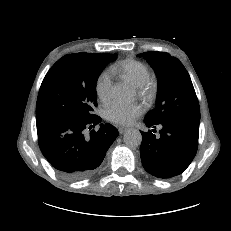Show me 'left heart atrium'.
<instances>
[{
    "mask_svg": "<svg viewBox=\"0 0 231 231\" xmlns=\"http://www.w3.org/2000/svg\"><path fill=\"white\" fill-rule=\"evenodd\" d=\"M143 107L138 103L123 104L113 102L106 110L107 118L120 125H129L142 113Z\"/></svg>",
    "mask_w": 231,
    "mask_h": 231,
    "instance_id": "39dd6f15",
    "label": "left heart atrium"
}]
</instances>
